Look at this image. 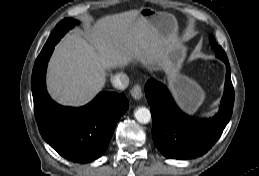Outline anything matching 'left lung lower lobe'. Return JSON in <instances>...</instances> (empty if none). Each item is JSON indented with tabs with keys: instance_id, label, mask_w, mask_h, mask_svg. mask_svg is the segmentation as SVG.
I'll return each instance as SVG.
<instances>
[{
	"instance_id": "1",
	"label": "left lung lower lobe",
	"mask_w": 259,
	"mask_h": 176,
	"mask_svg": "<svg viewBox=\"0 0 259 176\" xmlns=\"http://www.w3.org/2000/svg\"><path fill=\"white\" fill-rule=\"evenodd\" d=\"M222 61L226 64L225 90L220 111L210 119L196 120L184 114L163 84L155 80L146 83L145 94L153 121V141L165 157L186 160L202 156L221 136L234 105L230 65L228 59Z\"/></svg>"
}]
</instances>
